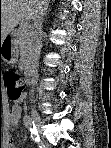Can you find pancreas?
I'll return each instance as SVG.
<instances>
[{"label":"pancreas","instance_id":"pancreas-1","mask_svg":"<svg viewBox=\"0 0 111 148\" xmlns=\"http://www.w3.org/2000/svg\"><path fill=\"white\" fill-rule=\"evenodd\" d=\"M18 44L20 48V64L22 68L27 67V52H28V39H29V27L27 25H21L17 31Z\"/></svg>","mask_w":111,"mask_h":148}]
</instances>
